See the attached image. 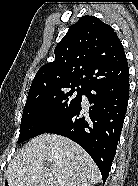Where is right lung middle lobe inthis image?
I'll use <instances>...</instances> for the list:
<instances>
[{
    "instance_id": "1",
    "label": "right lung middle lobe",
    "mask_w": 138,
    "mask_h": 186,
    "mask_svg": "<svg viewBox=\"0 0 138 186\" xmlns=\"http://www.w3.org/2000/svg\"><path fill=\"white\" fill-rule=\"evenodd\" d=\"M85 87L68 85L29 93L23 110L18 143L45 133L80 102Z\"/></svg>"
}]
</instances>
